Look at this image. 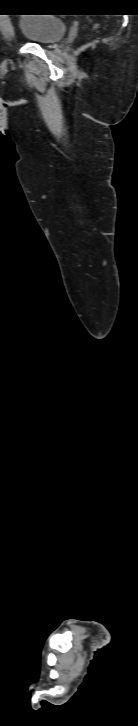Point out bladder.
Here are the masks:
<instances>
[{
  "instance_id": "bladder-1",
  "label": "bladder",
  "mask_w": 138,
  "mask_h": 726,
  "mask_svg": "<svg viewBox=\"0 0 138 726\" xmlns=\"http://www.w3.org/2000/svg\"><path fill=\"white\" fill-rule=\"evenodd\" d=\"M20 32L36 43H52L66 34L67 24L64 19L52 14H26L19 21Z\"/></svg>"
}]
</instances>
